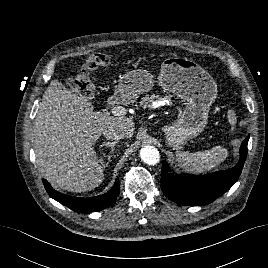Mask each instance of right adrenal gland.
Instances as JSON below:
<instances>
[{"mask_svg": "<svg viewBox=\"0 0 268 268\" xmlns=\"http://www.w3.org/2000/svg\"><path fill=\"white\" fill-rule=\"evenodd\" d=\"M118 142L117 141H114V142H103L101 145H100V148H103V147H110L111 151L108 155V161L105 162V167L108 166L109 162L111 161V157H112V154L114 152V147L115 145L117 144ZM104 162V160H102Z\"/></svg>", "mask_w": 268, "mask_h": 268, "instance_id": "2a0ac1e0", "label": "right adrenal gland"}]
</instances>
